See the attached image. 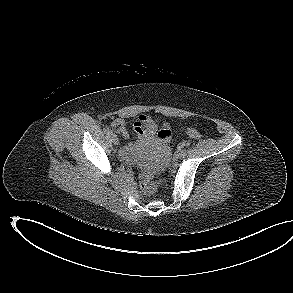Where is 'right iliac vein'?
I'll return each mask as SVG.
<instances>
[{"label": "right iliac vein", "mask_w": 293, "mask_h": 293, "mask_svg": "<svg viewBox=\"0 0 293 293\" xmlns=\"http://www.w3.org/2000/svg\"><path fill=\"white\" fill-rule=\"evenodd\" d=\"M110 135H111V140H112L113 144L118 145L119 139L117 138V136L115 134H110Z\"/></svg>", "instance_id": "right-iliac-vein-1"}]
</instances>
